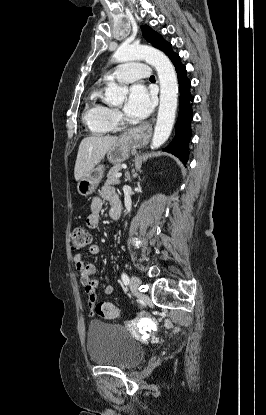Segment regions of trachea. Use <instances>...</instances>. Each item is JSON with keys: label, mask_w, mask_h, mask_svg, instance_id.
<instances>
[{"label": "trachea", "mask_w": 266, "mask_h": 415, "mask_svg": "<svg viewBox=\"0 0 266 415\" xmlns=\"http://www.w3.org/2000/svg\"><path fill=\"white\" fill-rule=\"evenodd\" d=\"M150 79H155V77L154 76H151Z\"/></svg>", "instance_id": "trachea-1"}]
</instances>
